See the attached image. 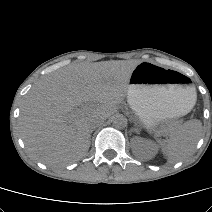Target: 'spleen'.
I'll list each match as a JSON object with an SVG mask.
<instances>
[{
  "instance_id": "1",
  "label": "spleen",
  "mask_w": 212,
  "mask_h": 212,
  "mask_svg": "<svg viewBox=\"0 0 212 212\" xmlns=\"http://www.w3.org/2000/svg\"><path fill=\"white\" fill-rule=\"evenodd\" d=\"M201 133L202 124L200 121H187L162 145L163 155L170 163L187 158L194 150Z\"/></svg>"
}]
</instances>
